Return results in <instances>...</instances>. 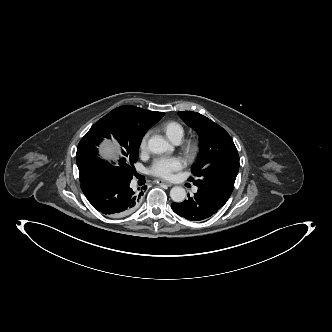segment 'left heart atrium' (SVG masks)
Returning <instances> with one entry per match:
<instances>
[{
    "label": "left heart atrium",
    "instance_id": "obj_1",
    "mask_svg": "<svg viewBox=\"0 0 332 332\" xmlns=\"http://www.w3.org/2000/svg\"><path fill=\"white\" fill-rule=\"evenodd\" d=\"M184 162L180 157H160L154 161L150 168L152 175L161 178H171L174 172L183 168Z\"/></svg>",
    "mask_w": 332,
    "mask_h": 332
}]
</instances>
